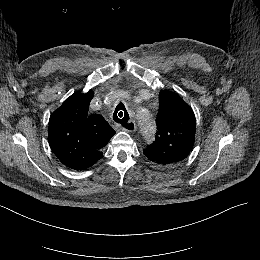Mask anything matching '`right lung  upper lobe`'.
Here are the masks:
<instances>
[{
	"label": "right lung upper lobe",
	"instance_id": "right-lung-upper-lobe-1",
	"mask_svg": "<svg viewBox=\"0 0 260 260\" xmlns=\"http://www.w3.org/2000/svg\"><path fill=\"white\" fill-rule=\"evenodd\" d=\"M94 96L74 93L49 120L48 141L57 158L67 167L84 170L99 160L103 147L115 134L100 114H89Z\"/></svg>",
	"mask_w": 260,
	"mask_h": 260
}]
</instances>
